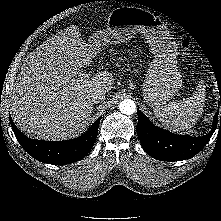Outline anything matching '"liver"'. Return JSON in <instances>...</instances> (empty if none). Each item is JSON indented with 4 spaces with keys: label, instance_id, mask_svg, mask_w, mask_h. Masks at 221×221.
<instances>
[{
    "label": "liver",
    "instance_id": "liver-1",
    "mask_svg": "<svg viewBox=\"0 0 221 221\" xmlns=\"http://www.w3.org/2000/svg\"><path fill=\"white\" fill-rule=\"evenodd\" d=\"M80 36L76 26L66 28L24 60L10 104L23 133L51 141L73 138L88 126L94 110L91 93L113 88L110 72L91 78L83 73L97 50Z\"/></svg>",
    "mask_w": 221,
    "mask_h": 221
}]
</instances>
